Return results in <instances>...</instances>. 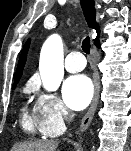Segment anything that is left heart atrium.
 <instances>
[{"instance_id": "obj_1", "label": "left heart atrium", "mask_w": 131, "mask_h": 151, "mask_svg": "<svg viewBox=\"0 0 131 151\" xmlns=\"http://www.w3.org/2000/svg\"><path fill=\"white\" fill-rule=\"evenodd\" d=\"M63 99L72 110H82L90 102L93 95V84L86 75L69 77L62 88Z\"/></svg>"}]
</instances>
